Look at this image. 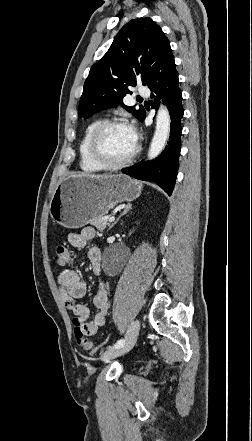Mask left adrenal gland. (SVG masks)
<instances>
[{
  "instance_id": "obj_1",
  "label": "left adrenal gland",
  "mask_w": 252,
  "mask_h": 441,
  "mask_svg": "<svg viewBox=\"0 0 252 441\" xmlns=\"http://www.w3.org/2000/svg\"><path fill=\"white\" fill-rule=\"evenodd\" d=\"M132 209V205L131 204H127V206L125 207V209L123 210V212L119 215V217L116 219V221L109 227V230L111 229V228H113L117 223H118V221L120 220V218L123 216V215H125L127 212H129V210H131Z\"/></svg>"
}]
</instances>
